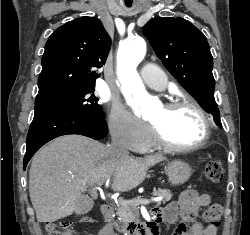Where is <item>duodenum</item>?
I'll list each match as a JSON object with an SVG mask.
<instances>
[{
    "label": "duodenum",
    "mask_w": 250,
    "mask_h": 235,
    "mask_svg": "<svg viewBox=\"0 0 250 235\" xmlns=\"http://www.w3.org/2000/svg\"><path fill=\"white\" fill-rule=\"evenodd\" d=\"M101 211L104 216L105 226L100 230L98 235H113L117 230L120 231L112 208L108 205H101ZM159 222L158 215L153 213L152 218L145 224V226H129L122 233L124 235H157Z\"/></svg>",
    "instance_id": "obj_1"
}]
</instances>
